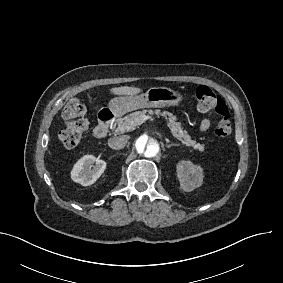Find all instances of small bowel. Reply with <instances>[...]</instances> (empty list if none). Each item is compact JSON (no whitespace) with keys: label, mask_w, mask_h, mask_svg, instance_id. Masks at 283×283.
Segmentation results:
<instances>
[{"label":"small bowel","mask_w":283,"mask_h":283,"mask_svg":"<svg viewBox=\"0 0 283 283\" xmlns=\"http://www.w3.org/2000/svg\"><path fill=\"white\" fill-rule=\"evenodd\" d=\"M209 127H210V119L205 118V119H203V120L201 121L199 128H200V130H201L202 132H204V131H206Z\"/></svg>","instance_id":"1"}]
</instances>
